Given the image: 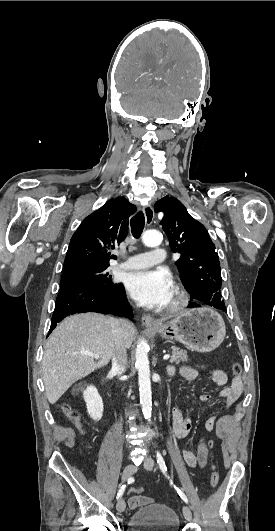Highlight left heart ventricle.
Instances as JSON below:
<instances>
[{"label": "left heart ventricle", "instance_id": "1", "mask_svg": "<svg viewBox=\"0 0 275 531\" xmlns=\"http://www.w3.org/2000/svg\"><path fill=\"white\" fill-rule=\"evenodd\" d=\"M173 297H174V294H173V291H171V295H170V298H169V300H168V303L173 299ZM168 303H167V304H168Z\"/></svg>", "mask_w": 275, "mask_h": 531}]
</instances>
